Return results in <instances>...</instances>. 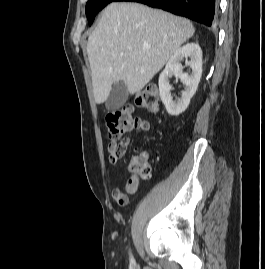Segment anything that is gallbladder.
Returning a JSON list of instances; mask_svg holds the SVG:
<instances>
[{
    "mask_svg": "<svg viewBox=\"0 0 265 269\" xmlns=\"http://www.w3.org/2000/svg\"><path fill=\"white\" fill-rule=\"evenodd\" d=\"M128 96L129 92L124 82H117L112 86L110 94L106 100V108L110 111L119 109L125 104Z\"/></svg>",
    "mask_w": 265,
    "mask_h": 269,
    "instance_id": "obj_1",
    "label": "gallbladder"
}]
</instances>
